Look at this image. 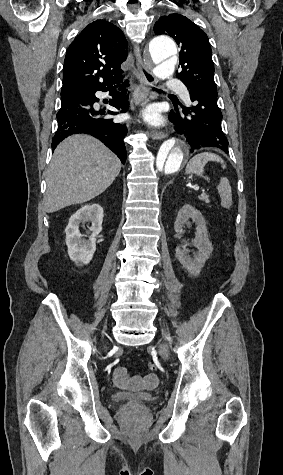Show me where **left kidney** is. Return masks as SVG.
<instances>
[{
	"label": "left kidney",
	"mask_w": 283,
	"mask_h": 475,
	"mask_svg": "<svg viewBox=\"0 0 283 475\" xmlns=\"http://www.w3.org/2000/svg\"><path fill=\"white\" fill-rule=\"evenodd\" d=\"M189 218H191L197 226L196 236L192 243L197 247L198 251L194 257L187 255L188 249H186V247L189 243L187 239H182V243H179L176 247V257L179 259L180 263H182L183 267L188 269L191 275H199L202 267H204L206 259L210 257V253L213 251V245L212 241L208 238L206 222L201 212L196 210V208H193V206H189V204H185L177 214L174 224L176 234H181L184 224L188 222Z\"/></svg>",
	"instance_id": "left-kidney-1"
}]
</instances>
